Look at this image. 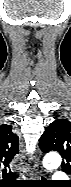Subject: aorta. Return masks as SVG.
Listing matches in <instances>:
<instances>
[{"label":"aorta","mask_w":71,"mask_h":187,"mask_svg":"<svg viewBox=\"0 0 71 187\" xmlns=\"http://www.w3.org/2000/svg\"><path fill=\"white\" fill-rule=\"evenodd\" d=\"M60 164H61V157L56 152L48 153L43 159L44 167L49 170L59 167Z\"/></svg>","instance_id":"1"}]
</instances>
